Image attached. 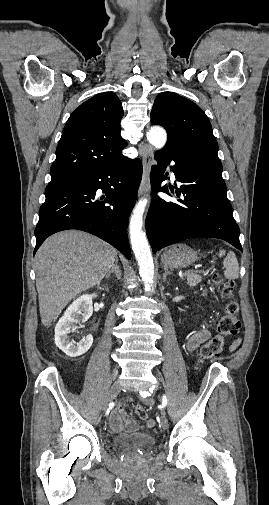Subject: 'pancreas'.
<instances>
[{
  "instance_id": "1",
  "label": "pancreas",
  "mask_w": 269,
  "mask_h": 505,
  "mask_svg": "<svg viewBox=\"0 0 269 505\" xmlns=\"http://www.w3.org/2000/svg\"><path fill=\"white\" fill-rule=\"evenodd\" d=\"M186 276H187V284L190 286V287H194L196 286L198 283L201 282L202 280V276L197 274V272L193 271V270H189L186 272Z\"/></svg>"
}]
</instances>
